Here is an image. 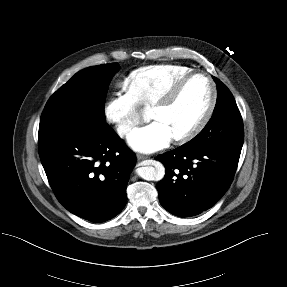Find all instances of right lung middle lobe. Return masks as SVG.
Returning a JSON list of instances; mask_svg holds the SVG:
<instances>
[{
	"mask_svg": "<svg viewBox=\"0 0 287 287\" xmlns=\"http://www.w3.org/2000/svg\"><path fill=\"white\" fill-rule=\"evenodd\" d=\"M119 68L117 63L88 67L59 88L43 110L38 141L107 127L104 114L106 92Z\"/></svg>",
	"mask_w": 287,
	"mask_h": 287,
	"instance_id": "dd1d6c3e",
	"label": "right lung middle lobe"
}]
</instances>
